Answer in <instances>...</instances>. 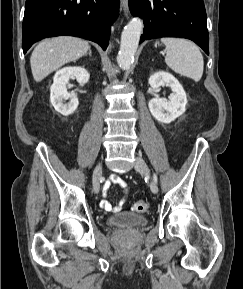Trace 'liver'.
I'll use <instances>...</instances> for the list:
<instances>
[{
  "mask_svg": "<svg viewBox=\"0 0 243 289\" xmlns=\"http://www.w3.org/2000/svg\"><path fill=\"white\" fill-rule=\"evenodd\" d=\"M89 43L83 39L60 36L41 41L33 50L30 65L36 82L71 61L87 54Z\"/></svg>",
  "mask_w": 243,
  "mask_h": 289,
  "instance_id": "1",
  "label": "liver"
}]
</instances>
